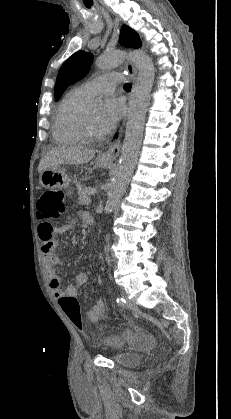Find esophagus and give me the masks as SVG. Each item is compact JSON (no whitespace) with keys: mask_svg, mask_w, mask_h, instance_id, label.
Masks as SVG:
<instances>
[{"mask_svg":"<svg viewBox=\"0 0 231 419\" xmlns=\"http://www.w3.org/2000/svg\"><path fill=\"white\" fill-rule=\"evenodd\" d=\"M126 69L130 77L132 78V80H135L137 69L134 66V64L130 62L129 60L126 61ZM123 125L124 124H122V126L120 127L118 139L109 147V149L106 152L102 154V157L104 159L112 161L119 156L120 150H121V135L123 131Z\"/></svg>","mask_w":231,"mask_h":419,"instance_id":"34e87169","label":"esophagus"}]
</instances>
